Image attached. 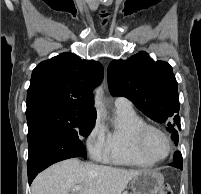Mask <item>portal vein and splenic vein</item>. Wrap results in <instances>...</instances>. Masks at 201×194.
Wrapping results in <instances>:
<instances>
[{"instance_id": "obj_1", "label": "portal vein and splenic vein", "mask_w": 201, "mask_h": 194, "mask_svg": "<svg viewBox=\"0 0 201 194\" xmlns=\"http://www.w3.org/2000/svg\"><path fill=\"white\" fill-rule=\"evenodd\" d=\"M81 189H82V186H75L72 188V192L76 193V192H79Z\"/></svg>"}]
</instances>
